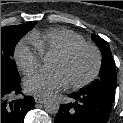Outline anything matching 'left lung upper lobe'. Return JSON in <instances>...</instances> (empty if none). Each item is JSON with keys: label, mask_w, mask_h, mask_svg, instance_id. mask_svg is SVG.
Returning <instances> with one entry per match:
<instances>
[{"label": "left lung upper lobe", "mask_w": 123, "mask_h": 123, "mask_svg": "<svg viewBox=\"0 0 123 123\" xmlns=\"http://www.w3.org/2000/svg\"><path fill=\"white\" fill-rule=\"evenodd\" d=\"M93 41L99 47L102 53V66L99 72V78L96 79L85 90L103 91L114 94L116 84L115 62L109 47V44L97 35H92Z\"/></svg>", "instance_id": "left-lung-upper-lobe-1"}]
</instances>
